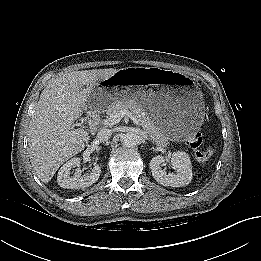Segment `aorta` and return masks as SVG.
Wrapping results in <instances>:
<instances>
[{
    "mask_svg": "<svg viewBox=\"0 0 261 261\" xmlns=\"http://www.w3.org/2000/svg\"><path fill=\"white\" fill-rule=\"evenodd\" d=\"M123 146L132 148L139 144L140 136L135 132H127L121 136Z\"/></svg>",
    "mask_w": 261,
    "mask_h": 261,
    "instance_id": "762f6f07",
    "label": "aorta"
}]
</instances>
